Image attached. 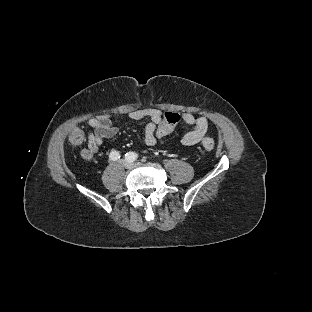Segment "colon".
Here are the masks:
<instances>
[{"mask_svg": "<svg viewBox=\"0 0 312 312\" xmlns=\"http://www.w3.org/2000/svg\"><path fill=\"white\" fill-rule=\"evenodd\" d=\"M165 117L163 123L157 129L159 135L164 136L166 134H170L175 126L183 119V116L180 113H173L169 110H166L163 113ZM67 139L70 141L72 147L76 148L81 146L83 141V133L79 127L73 126L67 130L66 133ZM214 141L211 138H205L202 142V147L205 151H212L214 149ZM84 157H89V152H84Z\"/></svg>", "mask_w": 312, "mask_h": 312, "instance_id": "1", "label": "colon"}]
</instances>
